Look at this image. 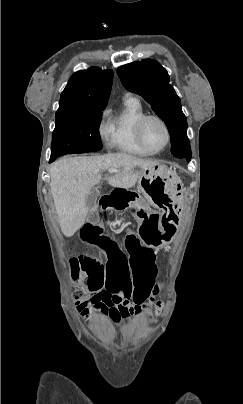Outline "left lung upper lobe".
Wrapping results in <instances>:
<instances>
[{
  "label": "left lung upper lobe",
  "mask_w": 243,
  "mask_h": 404,
  "mask_svg": "<svg viewBox=\"0 0 243 404\" xmlns=\"http://www.w3.org/2000/svg\"><path fill=\"white\" fill-rule=\"evenodd\" d=\"M117 74L127 90L141 95L164 120L171 136V153L191 157L187 120L167 71L157 61L146 59L119 67Z\"/></svg>",
  "instance_id": "left-lung-upper-lobe-1"
}]
</instances>
